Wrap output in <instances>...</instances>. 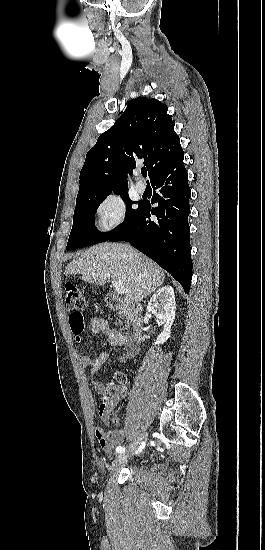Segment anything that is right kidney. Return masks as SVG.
I'll return each mask as SVG.
<instances>
[{
    "label": "right kidney",
    "mask_w": 265,
    "mask_h": 550,
    "mask_svg": "<svg viewBox=\"0 0 265 550\" xmlns=\"http://www.w3.org/2000/svg\"><path fill=\"white\" fill-rule=\"evenodd\" d=\"M147 310L164 323V329L158 335L155 344H164L170 337L171 326L175 320L176 302L174 289L167 285L156 291L148 302Z\"/></svg>",
    "instance_id": "right-kidney-1"
}]
</instances>
